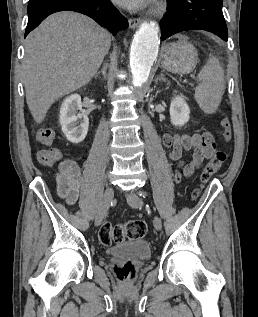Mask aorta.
I'll return each mask as SVG.
<instances>
[{
    "instance_id": "obj_1",
    "label": "aorta",
    "mask_w": 258,
    "mask_h": 317,
    "mask_svg": "<svg viewBox=\"0 0 258 317\" xmlns=\"http://www.w3.org/2000/svg\"><path fill=\"white\" fill-rule=\"evenodd\" d=\"M159 44L156 23H143L134 35L130 51V67L135 87H141L147 81L158 55Z\"/></svg>"
}]
</instances>
